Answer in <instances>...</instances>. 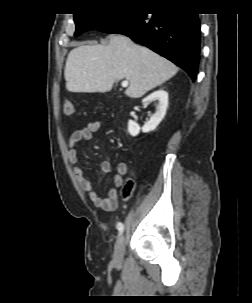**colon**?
Masks as SVG:
<instances>
[{
  "label": "colon",
  "mask_w": 252,
  "mask_h": 303,
  "mask_svg": "<svg viewBox=\"0 0 252 303\" xmlns=\"http://www.w3.org/2000/svg\"><path fill=\"white\" fill-rule=\"evenodd\" d=\"M75 112L74 102L70 98H65L63 100V113L67 116L73 115ZM134 189V182L133 180H127L122 189V198L124 200H128L133 192Z\"/></svg>",
  "instance_id": "obj_1"
}]
</instances>
